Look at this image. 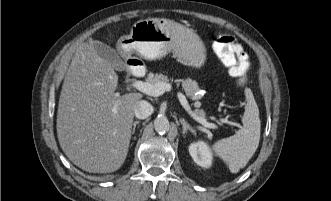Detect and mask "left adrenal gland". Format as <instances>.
Returning <instances> with one entry per match:
<instances>
[{"mask_svg": "<svg viewBox=\"0 0 331 201\" xmlns=\"http://www.w3.org/2000/svg\"><path fill=\"white\" fill-rule=\"evenodd\" d=\"M180 123L183 126V135L187 133V131H190L191 133L195 134V130L185 121V119H180Z\"/></svg>", "mask_w": 331, "mask_h": 201, "instance_id": "a2214340", "label": "left adrenal gland"}]
</instances>
